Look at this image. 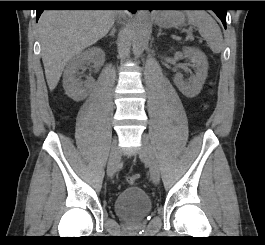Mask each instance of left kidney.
Returning <instances> with one entry per match:
<instances>
[{
	"instance_id": "1",
	"label": "left kidney",
	"mask_w": 265,
	"mask_h": 245,
	"mask_svg": "<svg viewBox=\"0 0 265 245\" xmlns=\"http://www.w3.org/2000/svg\"><path fill=\"white\" fill-rule=\"evenodd\" d=\"M184 56L192 63V67L195 69V75H193L189 82L183 80V75L178 73L174 77V83L177 88L188 98L197 96L207 78L208 74V61L205 54L198 48H186L183 50Z\"/></svg>"
}]
</instances>
